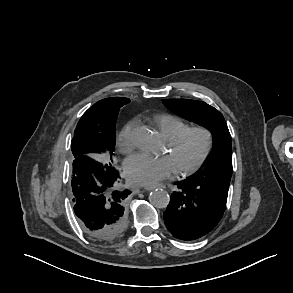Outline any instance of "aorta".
<instances>
[{"instance_id": "762f6f07", "label": "aorta", "mask_w": 293, "mask_h": 293, "mask_svg": "<svg viewBox=\"0 0 293 293\" xmlns=\"http://www.w3.org/2000/svg\"><path fill=\"white\" fill-rule=\"evenodd\" d=\"M135 145L144 152H151L156 146V137L154 133L147 128H140L134 135ZM150 203L156 208H166L170 198L163 189H156L149 195Z\"/></svg>"}]
</instances>
